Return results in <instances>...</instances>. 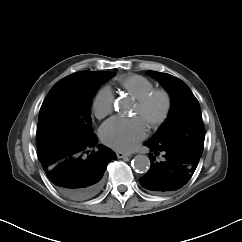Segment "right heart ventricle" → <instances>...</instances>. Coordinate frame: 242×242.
I'll return each mask as SVG.
<instances>
[{"label":"right heart ventricle","mask_w":242,"mask_h":242,"mask_svg":"<svg viewBox=\"0 0 242 242\" xmlns=\"http://www.w3.org/2000/svg\"><path fill=\"white\" fill-rule=\"evenodd\" d=\"M117 81L120 87L136 100L155 88L151 80L138 74L123 75Z\"/></svg>","instance_id":"obj_1"}]
</instances>
